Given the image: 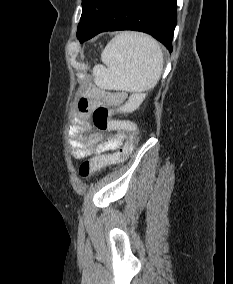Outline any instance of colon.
Listing matches in <instances>:
<instances>
[{
	"mask_svg": "<svg viewBox=\"0 0 233 284\" xmlns=\"http://www.w3.org/2000/svg\"><path fill=\"white\" fill-rule=\"evenodd\" d=\"M143 92H134L127 102L120 108V112L130 113L135 111L144 99ZM93 123L96 128L102 131L126 130L124 144L115 152L108 155H98L92 159L82 162L79 174L82 178H88L99 169L114 163L125 160L135 148L138 140V129L135 125H126L123 121L111 118V111L106 106H99L92 114Z\"/></svg>",
	"mask_w": 233,
	"mask_h": 284,
	"instance_id": "5ec220e1",
	"label": "colon"
}]
</instances>
